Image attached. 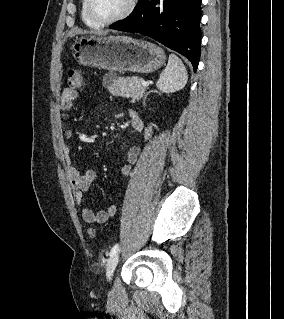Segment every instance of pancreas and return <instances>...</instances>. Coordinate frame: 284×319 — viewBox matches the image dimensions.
Wrapping results in <instances>:
<instances>
[{
	"label": "pancreas",
	"mask_w": 284,
	"mask_h": 319,
	"mask_svg": "<svg viewBox=\"0 0 284 319\" xmlns=\"http://www.w3.org/2000/svg\"><path fill=\"white\" fill-rule=\"evenodd\" d=\"M109 77L112 81H107ZM103 81L112 95L132 98L133 101H139L147 90L142 85L143 79L136 76L117 78L115 75L106 74Z\"/></svg>",
	"instance_id": "obj_1"
}]
</instances>
